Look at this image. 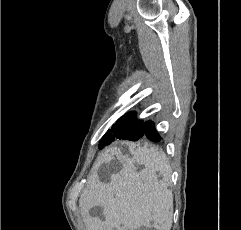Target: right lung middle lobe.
Here are the masks:
<instances>
[{
  "mask_svg": "<svg viewBox=\"0 0 241 230\" xmlns=\"http://www.w3.org/2000/svg\"><path fill=\"white\" fill-rule=\"evenodd\" d=\"M135 122L136 118L134 114L122 116L119 120H117L116 124L112 126V129L108 130L103 136L100 141L99 148L102 149L117 139L137 141L141 138V136H137V134L128 131V127Z\"/></svg>",
  "mask_w": 241,
  "mask_h": 230,
  "instance_id": "dd1d6c3e",
  "label": "right lung middle lobe"
}]
</instances>
